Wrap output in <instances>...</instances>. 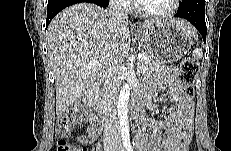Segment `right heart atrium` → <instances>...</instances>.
<instances>
[{"label": "right heart atrium", "mask_w": 231, "mask_h": 151, "mask_svg": "<svg viewBox=\"0 0 231 151\" xmlns=\"http://www.w3.org/2000/svg\"><path fill=\"white\" fill-rule=\"evenodd\" d=\"M113 3L115 4V6L123 11L128 10L129 8V1L128 0H115L113 1Z\"/></svg>", "instance_id": "obj_1"}]
</instances>
